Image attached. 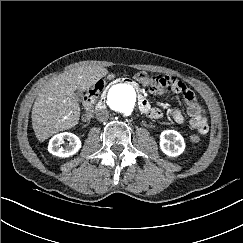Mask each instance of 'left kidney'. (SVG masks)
Returning <instances> with one entry per match:
<instances>
[{"label":"left kidney","mask_w":243,"mask_h":243,"mask_svg":"<svg viewBox=\"0 0 243 243\" xmlns=\"http://www.w3.org/2000/svg\"><path fill=\"white\" fill-rule=\"evenodd\" d=\"M160 148L167 156L177 157L185 149L184 138L175 130H164L160 134Z\"/></svg>","instance_id":"left-kidney-1"}]
</instances>
